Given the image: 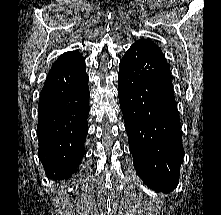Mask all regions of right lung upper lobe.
Returning <instances> with one entry per match:
<instances>
[{"mask_svg": "<svg viewBox=\"0 0 221 215\" xmlns=\"http://www.w3.org/2000/svg\"><path fill=\"white\" fill-rule=\"evenodd\" d=\"M79 58H81L80 53L77 51H69L66 52L64 54H62L57 60L56 62L53 64V66L51 67L49 73L56 71L60 68H63L64 66L78 60Z\"/></svg>", "mask_w": 221, "mask_h": 215, "instance_id": "cb5924a9", "label": "right lung upper lobe"}]
</instances>
